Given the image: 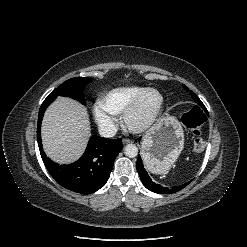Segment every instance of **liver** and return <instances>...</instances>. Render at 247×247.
<instances>
[{"instance_id": "liver-1", "label": "liver", "mask_w": 247, "mask_h": 247, "mask_svg": "<svg viewBox=\"0 0 247 247\" xmlns=\"http://www.w3.org/2000/svg\"><path fill=\"white\" fill-rule=\"evenodd\" d=\"M90 137L86 108L77 101L59 97L47 109L42 124L43 148L60 164H69L82 155Z\"/></svg>"}]
</instances>
